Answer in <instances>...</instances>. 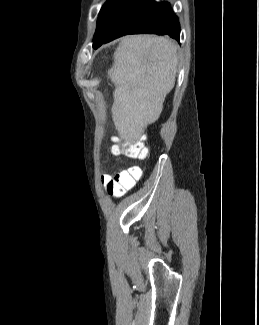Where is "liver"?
Here are the masks:
<instances>
[{"label": "liver", "mask_w": 259, "mask_h": 325, "mask_svg": "<svg viewBox=\"0 0 259 325\" xmlns=\"http://www.w3.org/2000/svg\"><path fill=\"white\" fill-rule=\"evenodd\" d=\"M178 46L166 37L121 39L108 77L115 85L112 119L119 136L135 143L163 109L176 80Z\"/></svg>", "instance_id": "liver-1"}]
</instances>
